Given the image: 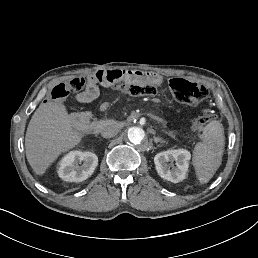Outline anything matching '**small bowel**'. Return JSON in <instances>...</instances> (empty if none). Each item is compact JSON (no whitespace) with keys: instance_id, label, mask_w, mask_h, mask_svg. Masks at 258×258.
<instances>
[{"instance_id":"obj_1","label":"small bowel","mask_w":258,"mask_h":258,"mask_svg":"<svg viewBox=\"0 0 258 258\" xmlns=\"http://www.w3.org/2000/svg\"><path fill=\"white\" fill-rule=\"evenodd\" d=\"M97 94V88L93 85H89L87 89L81 93L78 98L82 101H89L95 98Z\"/></svg>"}]
</instances>
